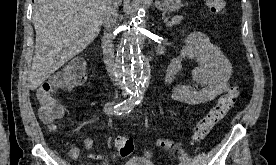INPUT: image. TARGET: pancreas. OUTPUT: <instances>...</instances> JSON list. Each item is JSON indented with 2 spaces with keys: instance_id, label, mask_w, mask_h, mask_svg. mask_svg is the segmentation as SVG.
Wrapping results in <instances>:
<instances>
[{
  "instance_id": "cf45deb5",
  "label": "pancreas",
  "mask_w": 276,
  "mask_h": 165,
  "mask_svg": "<svg viewBox=\"0 0 276 165\" xmlns=\"http://www.w3.org/2000/svg\"><path fill=\"white\" fill-rule=\"evenodd\" d=\"M173 20L175 22L174 24H178L182 21V17H175Z\"/></svg>"
}]
</instances>
